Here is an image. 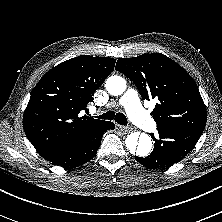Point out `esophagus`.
I'll use <instances>...</instances> for the list:
<instances>
[{
	"instance_id": "1",
	"label": "esophagus",
	"mask_w": 222,
	"mask_h": 222,
	"mask_svg": "<svg viewBox=\"0 0 222 222\" xmlns=\"http://www.w3.org/2000/svg\"><path fill=\"white\" fill-rule=\"evenodd\" d=\"M117 129L118 130H121L123 132H129L132 130V128L128 127V126H122V125H116Z\"/></svg>"
}]
</instances>
